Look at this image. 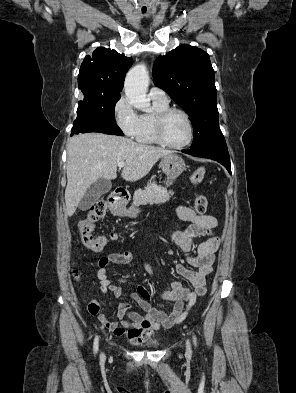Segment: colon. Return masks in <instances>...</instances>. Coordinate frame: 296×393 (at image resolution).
<instances>
[{"mask_svg": "<svg viewBox=\"0 0 296 393\" xmlns=\"http://www.w3.org/2000/svg\"><path fill=\"white\" fill-rule=\"evenodd\" d=\"M204 177V169H197L191 176L194 186L201 183ZM207 199L203 195H196L193 199V208L196 213L203 214L207 209ZM106 212V201L100 199L94 203L87 217L80 222L79 232L83 244L93 251H101L108 243L110 238L104 235H94V224L102 218Z\"/></svg>", "mask_w": 296, "mask_h": 393, "instance_id": "1", "label": "colon"}]
</instances>
